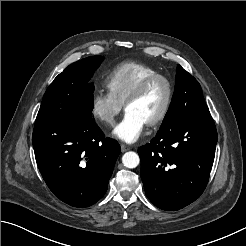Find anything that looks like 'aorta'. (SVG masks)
<instances>
[{"mask_svg": "<svg viewBox=\"0 0 246 246\" xmlns=\"http://www.w3.org/2000/svg\"><path fill=\"white\" fill-rule=\"evenodd\" d=\"M139 162L138 154L132 151L126 152L122 157V163L126 168H136Z\"/></svg>", "mask_w": 246, "mask_h": 246, "instance_id": "obj_1", "label": "aorta"}]
</instances>
